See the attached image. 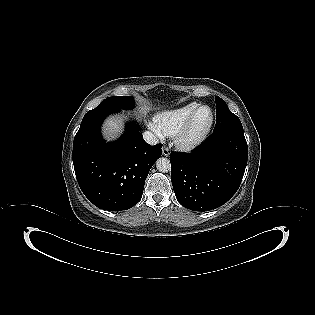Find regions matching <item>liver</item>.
I'll use <instances>...</instances> for the list:
<instances>
[{"instance_id": "6515ba94", "label": "liver", "mask_w": 315, "mask_h": 315, "mask_svg": "<svg viewBox=\"0 0 315 315\" xmlns=\"http://www.w3.org/2000/svg\"><path fill=\"white\" fill-rule=\"evenodd\" d=\"M122 129V123L120 120L115 118H110L105 123L104 132L108 137L117 136Z\"/></svg>"}]
</instances>
